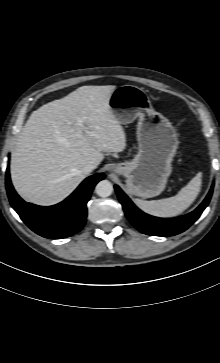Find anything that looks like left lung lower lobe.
Instances as JSON below:
<instances>
[{
	"label": "left lung lower lobe",
	"instance_id": "left-lung-lower-lobe-1",
	"mask_svg": "<svg viewBox=\"0 0 220 363\" xmlns=\"http://www.w3.org/2000/svg\"><path fill=\"white\" fill-rule=\"evenodd\" d=\"M115 190L127 218L140 232L153 236H173L185 231L199 218L209 204L213 186L197 209L187 215L173 219H162L147 215L139 210L117 185H115Z\"/></svg>",
	"mask_w": 220,
	"mask_h": 363
}]
</instances>
